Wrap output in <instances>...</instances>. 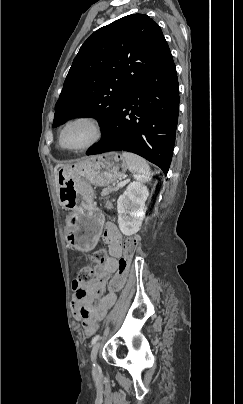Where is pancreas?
<instances>
[{
  "label": "pancreas",
  "instance_id": "cf45deb5",
  "mask_svg": "<svg viewBox=\"0 0 243 404\" xmlns=\"http://www.w3.org/2000/svg\"><path fill=\"white\" fill-rule=\"evenodd\" d=\"M117 190H119V188H114V186H106V188L102 190L101 196H108L110 192H117Z\"/></svg>",
  "mask_w": 243,
  "mask_h": 404
}]
</instances>
